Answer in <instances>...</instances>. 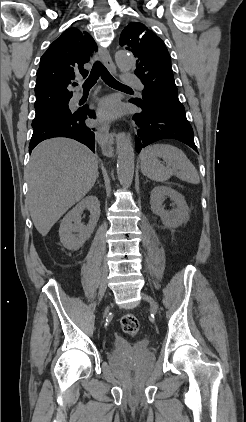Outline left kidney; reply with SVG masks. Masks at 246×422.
<instances>
[{"instance_id": "1", "label": "left kidney", "mask_w": 246, "mask_h": 422, "mask_svg": "<svg viewBox=\"0 0 246 422\" xmlns=\"http://www.w3.org/2000/svg\"><path fill=\"white\" fill-rule=\"evenodd\" d=\"M166 197L173 201L175 209H164L163 202ZM150 205L152 212L160 216L166 228H176L189 220V208L184 196L169 186H155L151 191Z\"/></svg>"}]
</instances>
